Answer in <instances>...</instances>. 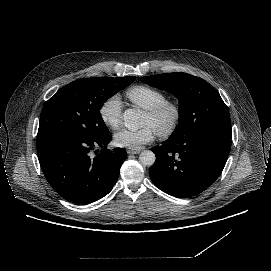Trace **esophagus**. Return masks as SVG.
<instances>
[{"instance_id": "esophagus-1", "label": "esophagus", "mask_w": 271, "mask_h": 271, "mask_svg": "<svg viewBox=\"0 0 271 271\" xmlns=\"http://www.w3.org/2000/svg\"><path fill=\"white\" fill-rule=\"evenodd\" d=\"M141 149H127L128 154H138Z\"/></svg>"}]
</instances>
